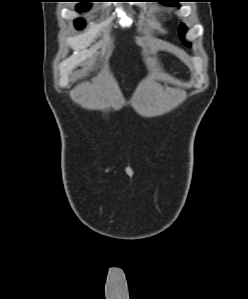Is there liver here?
Masks as SVG:
<instances>
[{
	"instance_id": "1",
	"label": "liver",
	"mask_w": 248,
	"mask_h": 299,
	"mask_svg": "<svg viewBox=\"0 0 248 299\" xmlns=\"http://www.w3.org/2000/svg\"><path fill=\"white\" fill-rule=\"evenodd\" d=\"M148 46L150 48V52L155 54L156 53V44L154 41H149L148 42ZM91 70V66L85 68L84 70H82L79 75H77L76 80L77 79H81L84 78L85 76H87L88 72Z\"/></svg>"
}]
</instances>
